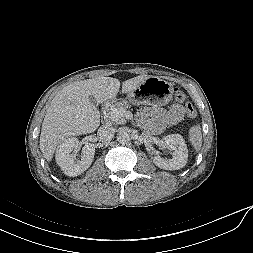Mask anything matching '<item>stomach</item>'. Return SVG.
<instances>
[{"label": "stomach", "instance_id": "obj_1", "mask_svg": "<svg viewBox=\"0 0 253 253\" xmlns=\"http://www.w3.org/2000/svg\"><path fill=\"white\" fill-rule=\"evenodd\" d=\"M173 96V85L159 77L146 78L137 88L128 92V99L133 104L163 106Z\"/></svg>", "mask_w": 253, "mask_h": 253}]
</instances>
